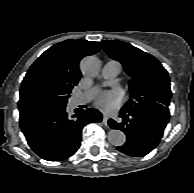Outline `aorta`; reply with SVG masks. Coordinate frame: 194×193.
Returning <instances> with one entry per match:
<instances>
[{
	"label": "aorta",
	"mask_w": 194,
	"mask_h": 193,
	"mask_svg": "<svg viewBox=\"0 0 194 193\" xmlns=\"http://www.w3.org/2000/svg\"><path fill=\"white\" fill-rule=\"evenodd\" d=\"M81 71L88 77H95L100 71V62L95 56H87L80 63ZM108 140L114 146H122L126 142V135L118 129L108 132Z\"/></svg>",
	"instance_id": "1"
}]
</instances>
